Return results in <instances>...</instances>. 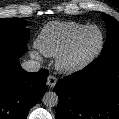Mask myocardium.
<instances>
[{
    "label": "myocardium",
    "mask_w": 119,
    "mask_h": 119,
    "mask_svg": "<svg viewBox=\"0 0 119 119\" xmlns=\"http://www.w3.org/2000/svg\"><path fill=\"white\" fill-rule=\"evenodd\" d=\"M95 29L99 32L100 42L97 49L88 57L81 60L72 59V53L77 42L80 38L87 33L88 31ZM104 33L103 31L96 25H88L80 30L70 41L67 47L58 55L57 57V67L64 73L72 74L79 72L89 66L102 52L104 47Z\"/></svg>",
    "instance_id": "obj_1"
}]
</instances>
